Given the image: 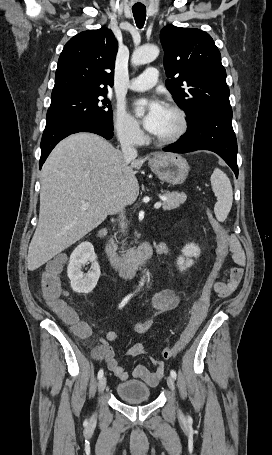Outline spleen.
<instances>
[{
    "instance_id": "spleen-1",
    "label": "spleen",
    "mask_w": 272,
    "mask_h": 455,
    "mask_svg": "<svg viewBox=\"0 0 272 455\" xmlns=\"http://www.w3.org/2000/svg\"><path fill=\"white\" fill-rule=\"evenodd\" d=\"M210 180L212 190L217 197L214 213L219 222H224L232 207V185L227 175L218 168L214 169Z\"/></svg>"
}]
</instances>
